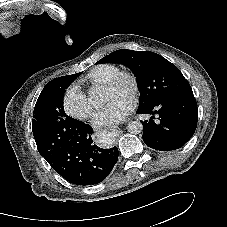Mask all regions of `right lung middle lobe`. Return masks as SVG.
<instances>
[{
    "instance_id": "1",
    "label": "right lung middle lobe",
    "mask_w": 227,
    "mask_h": 227,
    "mask_svg": "<svg viewBox=\"0 0 227 227\" xmlns=\"http://www.w3.org/2000/svg\"><path fill=\"white\" fill-rule=\"evenodd\" d=\"M67 75L51 80L43 88L36 102L32 131L39 153L49 159L72 138L76 119L66 115L63 108L65 89L80 74Z\"/></svg>"
}]
</instances>
